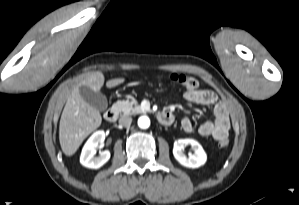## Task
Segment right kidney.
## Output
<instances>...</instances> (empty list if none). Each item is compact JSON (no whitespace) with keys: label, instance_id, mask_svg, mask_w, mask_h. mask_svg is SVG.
Instances as JSON below:
<instances>
[{"label":"right kidney","instance_id":"obj_1","mask_svg":"<svg viewBox=\"0 0 299 205\" xmlns=\"http://www.w3.org/2000/svg\"><path fill=\"white\" fill-rule=\"evenodd\" d=\"M105 139V133L102 130L94 132L91 137L85 143L81 156L80 163L91 169H98L103 166L110 159L109 151L100 152L98 157H95L96 148L99 143H102Z\"/></svg>","mask_w":299,"mask_h":205}]
</instances>
